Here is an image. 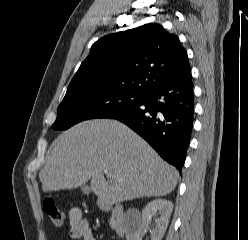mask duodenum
<instances>
[{
	"instance_id": "1",
	"label": "duodenum",
	"mask_w": 248,
	"mask_h": 240,
	"mask_svg": "<svg viewBox=\"0 0 248 240\" xmlns=\"http://www.w3.org/2000/svg\"><path fill=\"white\" fill-rule=\"evenodd\" d=\"M103 209L110 213L111 227L113 231L118 235L123 236L126 232L123 206L120 204H104Z\"/></svg>"
}]
</instances>
